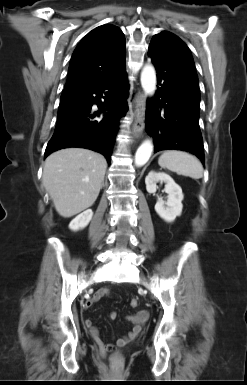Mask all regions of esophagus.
Here are the masks:
<instances>
[{"label": "esophagus", "instance_id": "obj_1", "mask_svg": "<svg viewBox=\"0 0 247 385\" xmlns=\"http://www.w3.org/2000/svg\"><path fill=\"white\" fill-rule=\"evenodd\" d=\"M145 95L139 92L135 98L133 134L140 137L145 127Z\"/></svg>", "mask_w": 247, "mask_h": 385}]
</instances>
